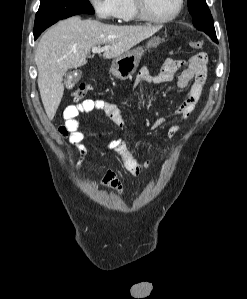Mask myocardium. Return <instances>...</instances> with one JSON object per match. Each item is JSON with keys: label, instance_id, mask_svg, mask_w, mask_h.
Returning a JSON list of instances; mask_svg holds the SVG:
<instances>
[{"label": "myocardium", "instance_id": "myocardium-1", "mask_svg": "<svg viewBox=\"0 0 247 299\" xmlns=\"http://www.w3.org/2000/svg\"><path fill=\"white\" fill-rule=\"evenodd\" d=\"M134 1V6L135 10L137 13V16L139 19L150 22V23H155V24H165L172 22L175 20L181 13L183 6H184V0H177V7L174 13L166 18H156L151 16L147 9H146V2L145 0H133Z\"/></svg>", "mask_w": 247, "mask_h": 299}]
</instances>
